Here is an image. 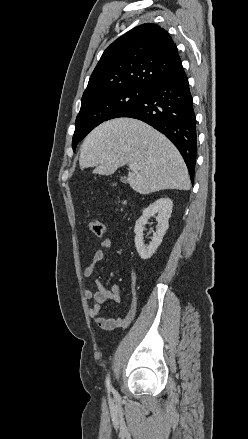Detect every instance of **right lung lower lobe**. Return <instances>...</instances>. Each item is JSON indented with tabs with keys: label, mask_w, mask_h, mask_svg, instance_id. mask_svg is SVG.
<instances>
[{
	"label": "right lung lower lobe",
	"mask_w": 248,
	"mask_h": 439,
	"mask_svg": "<svg viewBox=\"0 0 248 439\" xmlns=\"http://www.w3.org/2000/svg\"><path fill=\"white\" fill-rule=\"evenodd\" d=\"M119 117L144 121L169 138L180 151L193 183L197 155L196 116L183 69L149 88Z\"/></svg>",
	"instance_id": "1"
}]
</instances>
